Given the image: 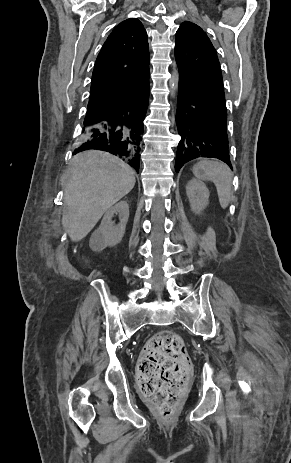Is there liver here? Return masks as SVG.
Masks as SVG:
<instances>
[{"instance_id":"obj_1","label":"liver","mask_w":291,"mask_h":463,"mask_svg":"<svg viewBox=\"0 0 291 463\" xmlns=\"http://www.w3.org/2000/svg\"><path fill=\"white\" fill-rule=\"evenodd\" d=\"M135 172L118 157L88 150L72 159L62 225L73 242L85 238L103 214L135 185Z\"/></svg>"}]
</instances>
